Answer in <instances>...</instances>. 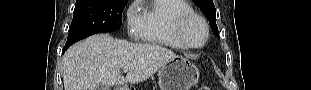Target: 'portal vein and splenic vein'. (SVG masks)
Wrapping results in <instances>:
<instances>
[{"label": "portal vein and splenic vein", "instance_id": "obj_1", "mask_svg": "<svg viewBox=\"0 0 311 90\" xmlns=\"http://www.w3.org/2000/svg\"><path fill=\"white\" fill-rule=\"evenodd\" d=\"M129 68L128 67H123V72H128Z\"/></svg>", "mask_w": 311, "mask_h": 90}]
</instances>
